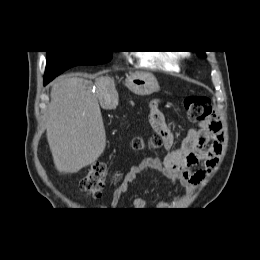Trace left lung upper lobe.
Wrapping results in <instances>:
<instances>
[{
  "label": "left lung upper lobe",
  "instance_id": "left-lung-upper-lobe-1",
  "mask_svg": "<svg viewBox=\"0 0 260 260\" xmlns=\"http://www.w3.org/2000/svg\"><path fill=\"white\" fill-rule=\"evenodd\" d=\"M198 53H199V56H201V57L205 56V51H198Z\"/></svg>",
  "mask_w": 260,
  "mask_h": 260
}]
</instances>
